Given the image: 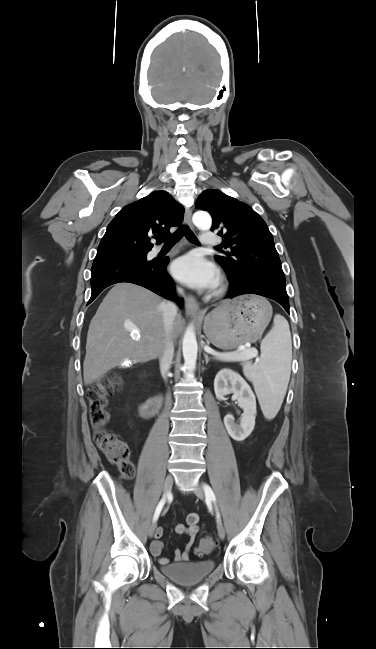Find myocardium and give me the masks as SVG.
<instances>
[{
	"instance_id": "myocardium-1",
	"label": "myocardium",
	"mask_w": 376,
	"mask_h": 649,
	"mask_svg": "<svg viewBox=\"0 0 376 649\" xmlns=\"http://www.w3.org/2000/svg\"><path fill=\"white\" fill-rule=\"evenodd\" d=\"M225 288H226L225 281H224L223 278H221V279L219 280V282H218V285H217V288H216L214 294H215L216 296H220V295H222V294L224 293V291H225Z\"/></svg>"
}]
</instances>
